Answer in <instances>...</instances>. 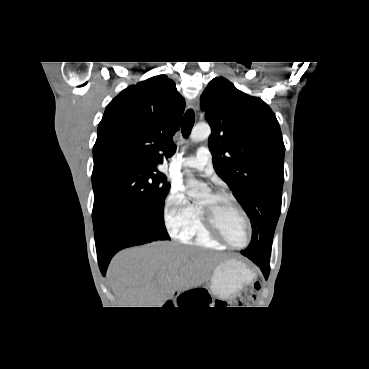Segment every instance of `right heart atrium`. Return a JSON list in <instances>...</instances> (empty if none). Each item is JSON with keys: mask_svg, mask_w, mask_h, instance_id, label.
<instances>
[{"mask_svg": "<svg viewBox=\"0 0 369 369\" xmlns=\"http://www.w3.org/2000/svg\"><path fill=\"white\" fill-rule=\"evenodd\" d=\"M196 213L192 204L179 186H172L163 206L164 221L168 231L174 236L187 232Z\"/></svg>", "mask_w": 369, "mask_h": 369, "instance_id": "1", "label": "right heart atrium"}]
</instances>
